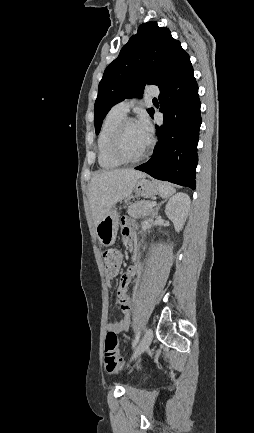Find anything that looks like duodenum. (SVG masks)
Listing matches in <instances>:
<instances>
[{
  "label": "duodenum",
  "mask_w": 254,
  "mask_h": 433,
  "mask_svg": "<svg viewBox=\"0 0 254 433\" xmlns=\"http://www.w3.org/2000/svg\"><path fill=\"white\" fill-rule=\"evenodd\" d=\"M129 246H130V247H133V246H134L133 239L129 241Z\"/></svg>",
  "instance_id": "1"
}]
</instances>
